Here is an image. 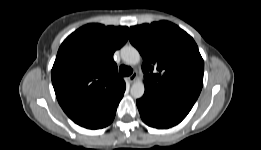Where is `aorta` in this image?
<instances>
[{"label":"aorta","mask_w":261,"mask_h":150,"mask_svg":"<svg viewBox=\"0 0 261 150\" xmlns=\"http://www.w3.org/2000/svg\"><path fill=\"white\" fill-rule=\"evenodd\" d=\"M121 57L128 65H136L140 62V54L133 46H124L121 49ZM145 92L144 81L137 79L131 86L130 93L134 98H141Z\"/></svg>","instance_id":"1"}]
</instances>
